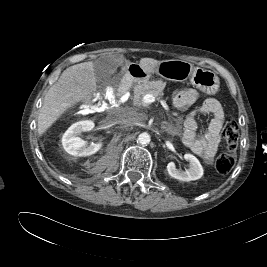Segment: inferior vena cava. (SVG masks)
I'll use <instances>...</instances> for the list:
<instances>
[{
	"instance_id": "inferior-vena-cava-1",
	"label": "inferior vena cava",
	"mask_w": 267,
	"mask_h": 267,
	"mask_svg": "<svg viewBox=\"0 0 267 267\" xmlns=\"http://www.w3.org/2000/svg\"><path fill=\"white\" fill-rule=\"evenodd\" d=\"M136 112L130 108H124L118 112V122L125 127H133L137 124L138 120Z\"/></svg>"
}]
</instances>
